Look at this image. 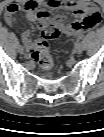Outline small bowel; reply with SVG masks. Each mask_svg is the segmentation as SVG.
<instances>
[{
    "label": "small bowel",
    "instance_id": "c3829d8e",
    "mask_svg": "<svg viewBox=\"0 0 104 137\" xmlns=\"http://www.w3.org/2000/svg\"><path fill=\"white\" fill-rule=\"evenodd\" d=\"M42 8L70 11L76 18L70 24L65 25L62 16H52L51 21L60 25L64 32L71 36L92 29L101 20L100 9L89 0H27L21 3H11L7 6L4 14L5 23L8 26L14 25L16 23V13L21 10L26 11L27 18L30 21H38V13L46 11ZM83 20L86 21L80 23ZM21 38L30 53V57H32L33 44L30 40V32L28 30L23 31Z\"/></svg>",
    "mask_w": 104,
    "mask_h": 137
}]
</instances>
